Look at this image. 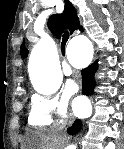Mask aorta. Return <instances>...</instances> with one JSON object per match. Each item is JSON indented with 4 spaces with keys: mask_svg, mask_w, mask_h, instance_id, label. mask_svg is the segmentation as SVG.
Segmentation results:
<instances>
[{
    "mask_svg": "<svg viewBox=\"0 0 124 149\" xmlns=\"http://www.w3.org/2000/svg\"><path fill=\"white\" fill-rule=\"evenodd\" d=\"M70 46L86 53L93 51L92 43L83 35L74 38L70 42ZM30 78L33 88L40 94L50 95L59 89L62 74L52 44L44 42L36 49L30 70ZM91 114L92 106L90 101L85 98L82 100L79 116L88 118ZM67 149H77V146L72 144Z\"/></svg>",
    "mask_w": 124,
    "mask_h": 149,
    "instance_id": "762f6f07",
    "label": "aorta"
}]
</instances>
